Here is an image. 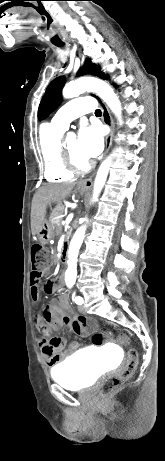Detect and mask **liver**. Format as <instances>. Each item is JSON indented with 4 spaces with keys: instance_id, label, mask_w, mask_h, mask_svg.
<instances>
[{
    "instance_id": "liver-1",
    "label": "liver",
    "mask_w": 165,
    "mask_h": 461,
    "mask_svg": "<svg viewBox=\"0 0 165 461\" xmlns=\"http://www.w3.org/2000/svg\"><path fill=\"white\" fill-rule=\"evenodd\" d=\"M76 183L46 185L35 193L31 206V232L36 235L45 220L47 205L50 203L60 204L62 200L70 196Z\"/></svg>"
}]
</instances>
